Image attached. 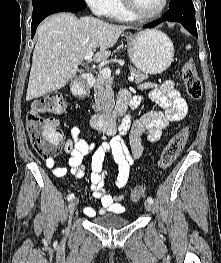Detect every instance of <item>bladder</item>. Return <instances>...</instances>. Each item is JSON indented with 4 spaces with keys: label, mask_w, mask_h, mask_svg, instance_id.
<instances>
[{
    "label": "bladder",
    "mask_w": 221,
    "mask_h": 263,
    "mask_svg": "<svg viewBox=\"0 0 221 263\" xmlns=\"http://www.w3.org/2000/svg\"><path fill=\"white\" fill-rule=\"evenodd\" d=\"M93 223L102 228L117 229L127 226L129 221L116 214H105L94 217Z\"/></svg>",
    "instance_id": "31cf9c89"
}]
</instances>
